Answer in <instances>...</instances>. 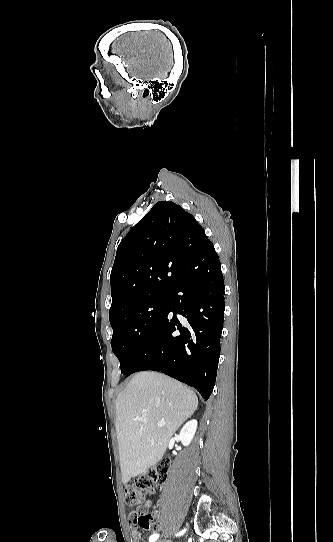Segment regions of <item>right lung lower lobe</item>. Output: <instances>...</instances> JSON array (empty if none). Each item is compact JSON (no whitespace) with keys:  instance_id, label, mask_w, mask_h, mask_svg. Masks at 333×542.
Instances as JSON below:
<instances>
[{"instance_id":"98d812e1","label":"right lung lower lobe","mask_w":333,"mask_h":542,"mask_svg":"<svg viewBox=\"0 0 333 542\" xmlns=\"http://www.w3.org/2000/svg\"><path fill=\"white\" fill-rule=\"evenodd\" d=\"M176 260L183 277L168 292L166 314L125 375L161 371L207 400L217 375L225 309L220 260L212 242L180 252Z\"/></svg>"}]
</instances>
